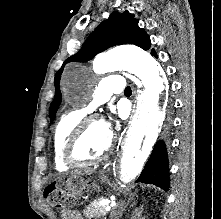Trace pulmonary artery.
I'll return each instance as SVG.
<instances>
[{
    "mask_svg": "<svg viewBox=\"0 0 221 219\" xmlns=\"http://www.w3.org/2000/svg\"><path fill=\"white\" fill-rule=\"evenodd\" d=\"M125 88L122 75H110L104 78L96 87L92 98L83 111L91 112L97 106L105 103L113 94H120Z\"/></svg>",
    "mask_w": 221,
    "mask_h": 219,
    "instance_id": "1",
    "label": "pulmonary artery"
}]
</instances>
